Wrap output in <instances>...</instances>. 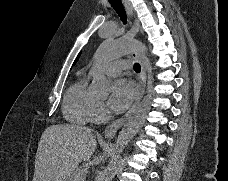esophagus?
Returning <instances> with one entry per match:
<instances>
[{
	"instance_id": "obj_1",
	"label": "esophagus",
	"mask_w": 228,
	"mask_h": 181,
	"mask_svg": "<svg viewBox=\"0 0 228 181\" xmlns=\"http://www.w3.org/2000/svg\"><path fill=\"white\" fill-rule=\"evenodd\" d=\"M122 3L124 4L128 14L132 17L133 16V7L130 3V0H122ZM140 31V25L133 23L132 28L130 29V32L138 33ZM133 58H136L139 60L141 64V73L138 76V83H139V93L135 98V101L131 108L125 113V115L121 116V118L117 119L110 125H108L105 130L104 134L106 137H114L117 133V131L123 126L127 118L132 114V112L135 110L136 106L139 104L141 99L143 98V95L146 90L147 86V72H146V60H145V55L141 51H135L131 53Z\"/></svg>"
}]
</instances>
